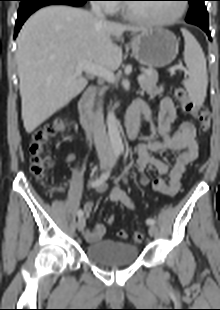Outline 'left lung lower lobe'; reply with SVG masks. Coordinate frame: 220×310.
<instances>
[{
  "instance_id": "1",
  "label": "left lung lower lobe",
  "mask_w": 220,
  "mask_h": 310,
  "mask_svg": "<svg viewBox=\"0 0 220 310\" xmlns=\"http://www.w3.org/2000/svg\"><path fill=\"white\" fill-rule=\"evenodd\" d=\"M202 30H204L206 32V34L208 35L209 39H211V35H210V31L208 26H199Z\"/></svg>"
}]
</instances>
